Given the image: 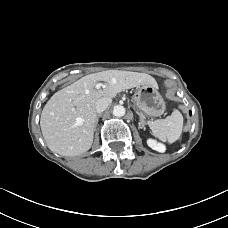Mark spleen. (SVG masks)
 <instances>
[{"mask_svg":"<svg viewBox=\"0 0 228 228\" xmlns=\"http://www.w3.org/2000/svg\"><path fill=\"white\" fill-rule=\"evenodd\" d=\"M148 125L154 136L159 140L173 143L181 136L183 116L178 110H174L172 114L165 119L148 121Z\"/></svg>","mask_w":228,"mask_h":228,"instance_id":"1","label":"spleen"}]
</instances>
